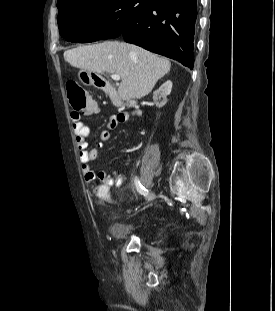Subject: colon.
Segmentation results:
<instances>
[{"label": "colon", "mask_w": 275, "mask_h": 311, "mask_svg": "<svg viewBox=\"0 0 275 311\" xmlns=\"http://www.w3.org/2000/svg\"><path fill=\"white\" fill-rule=\"evenodd\" d=\"M66 91L68 98L74 112H84L87 109L88 113H95L96 107L92 97H88V94L84 88H82L76 82H68L66 84ZM99 190L93 191L94 197H101L103 201H107L111 195L110 190L113 189L112 183H99L95 186Z\"/></svg>", "instance_id": "obj_1"}]
</instances>
